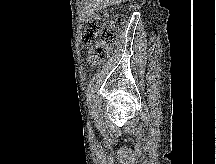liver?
Listing matches in <instances>:
<instances>
[{
	"label": "liver",
	"mask_w": 216,
	"mask_h": 164,
	"mask_svg": "<svg viewBox=\"0 0 216 164\" xmlns=\"http://www.w3.org/2000/svg\"><path fill=\"white\" fill-rule=\"evenodd\" d=\"M89 1V5L87 6V14L91 15L94 11H98L100 9H104L110 5L120 4L126 1L133 0H87Z\"/></svg>",
	"instance_id": "liver-1"
}]
</instances>
